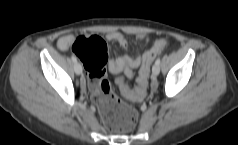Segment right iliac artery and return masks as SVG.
Wrapping results in <instances>:
<instances>
[{
	"label": "right iliac artery",
	"mask_w": 238,
	"mask_h": 145,
	"mask_svg": "<svg viewBox=\"0 0 238 145\" xmlns=\"http://www.w3.org/2000/svg\"><path fill=\"white\" fill-rule=\"evenodd\" d=\"M71 58H72V60H73L74 63L77 62V58L75 57V55H72Z\"/></svg>",
	"instance_id": "right-iliac-artery-1"
}]
</instances>
